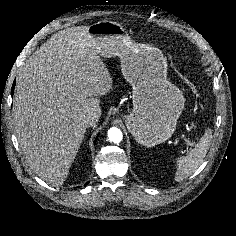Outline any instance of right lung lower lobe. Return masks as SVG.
Returning <instances> with one entry per match:
<instances>
[{
    "mask_svg": "<svg viewBox=\"0 0 236 236\" xmlns=\"http://www.w3.org/2000/svg\"><path fill=\"white\" fill-rule=\"evenodd\" d=\"M14 86H15V82L13 83L12 90H11L12 95H13V92H14Z\"/></svg>",
    "mask_w": 236,
    "mask_h": 236,
    "instance_id": "obj_1",
    "label": "right lung lower lobe"
}]
</instances>
